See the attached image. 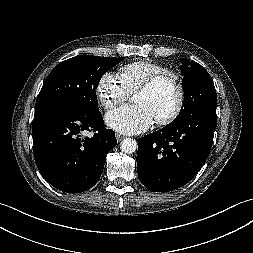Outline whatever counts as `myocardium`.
Masks as SVG:
<instances>
[{
  "label": "myocardium",
  "mask_w": 253,
  "mask_h": 253,
  "mask_svg": "<svg viewBox=\"0 0 253 253\" xmlns=\"http://www.w3.org/2000/svg\"><path fill=\"white\" fill-rule=\"evenodd\" d=\"M165 82H169L174 87L176 91V103L174 108L167 115L155 120L156 124L160 126L170 125L177 120L183 111L185 104V88L181 78L172 71H165L152 76L138 89V92H153Z\"/></svg>",
  "instance_id": "obj_1"
}]
</instances>
